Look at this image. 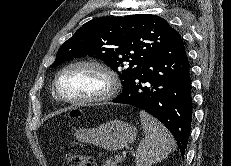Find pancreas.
I'll use <instances>...</instances> for the list:
<instances>
[{"mask_svg": "<svg viewBox=\"0 0 231 166\" xmlns=\"http://www.w3.org/2000/svg\"><path fill=\"white\" fill-rule=\"evenodd\" d=\"M121 162H122V157L116 156L114 160H112L111 158L105 160L103 166H118V164Z\"/></svg>", "mask_w": 231, "mask_h": 166, "instance_id": "1", "label": "pancreas"}]
</instances>
